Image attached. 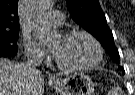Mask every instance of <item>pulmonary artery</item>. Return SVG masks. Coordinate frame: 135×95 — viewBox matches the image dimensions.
<instances>
[{
    "label": "pulmonary artery",
    "mask_w": 135,
    "mask_h": 95,
    "mask_svg": "<svg viewBox=\"0 0 135 95\" xmlns=\"http://www.w3.org/2000/svg\"><path fill=\"white\" fill-rule=\"evenodd\" d=\"M49 20L53 26L61 27L64 24V15L59 11H52Z\"/></svg>",
    "instance_id": "pulmonary-artery-1"
}]
</instances>
